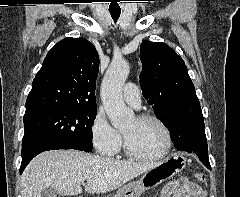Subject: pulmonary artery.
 Wrapping results in <instances>:
<instances>
[{"label": "pulmonary artery", "instance_id": "e3ab8cb5", "mask_svg": "<svg viewBox=\"0 0 240 197\" xmlns=\"http://www.w3.org/2000/svg\"><path fill=\"white\" fill-rule=\"evenodd\" d=\"M123 98L128 103L135 107H138L141 101L140 91L139 88L131 83L128 82L125 84L123 88Z\"/></svg>", "mask_w": 240, "mask_h": 197}]
</instances>
